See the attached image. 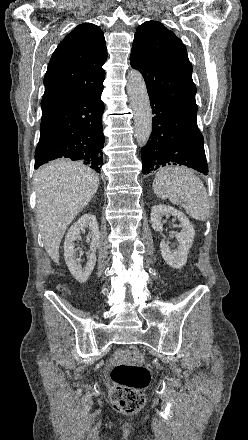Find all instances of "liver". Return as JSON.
I'll return each instance as SVG.
<instances>
[{"label": "liver", "instance_id": "obj_1", "mask_svg": "<svg viewBox=\"0 0 248 440\" xmlns=\"http://www.w3.org/2000/svg\"><path fill=\"white\" fill-rule=\"evenodd\" d=\"M34 181L42 240L48 255L58 264L65 231L97 192L99 178L80 161L60 159L42 166Z\"/></svg>", "mask_w": 248, "mask_h": 440}]
</instances>
